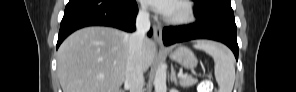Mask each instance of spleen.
Masks as SVG:
<instances>
[{
  "mask_svg": "<svg viewBox=\"0 0 296 92\" xmlns=\"http://www.w3.org/2000/svg\"><path fill=\"white\" fill-rule=\"evenodd\" d=\"M194 47L212 56L218 92H232L235 81L234 57L224 45L211 41H198Z\"/></svg>",
  "mask_w": 296,
  "mask_h": 92,
  "instance_id": "obj_1",
  "label": "spleen"
}]
</instances>
